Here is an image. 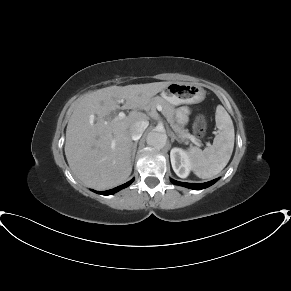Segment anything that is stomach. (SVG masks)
<instances>
[{
	"instance_id": "stomach-1",
	"label": "stomach",
	"mask_w": 291,
	"mask_h": 291,
	"mask_svg": "<svg viewBox=\"0 0 291 291\" xmlns=\"http://www.w3.org/2000/svg\"><path fill=\"white\" fill-rule=\"evenodd\" d=\"M162 97L169 103H197L204 99L205 90L197 85L183 82H171L162 90Z\"/></svg>"
}]
</instances>
